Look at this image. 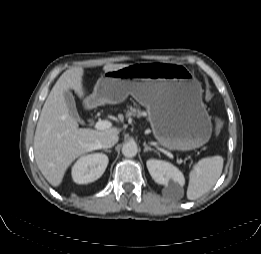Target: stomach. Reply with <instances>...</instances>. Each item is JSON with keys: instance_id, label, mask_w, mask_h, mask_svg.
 <instances>
[{"instance_id": "stomach-1", "label": "stomach", "mask_w": 261, "mask_h": 254, "mask_svg": "<svg viewBox=\"0 0 261 254\" xmlns=\"http://www.w3.org/2000/svg\"><path fill=\"white\" fill-rule=\"evenodd\" d=\"M202 87L183 64L148 62L105 72L87 98L90 105L118 104L132 95L148 112L158 144L187 151L206 144L212 123Z\"/></svg>"}]
</instances>
